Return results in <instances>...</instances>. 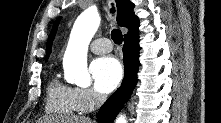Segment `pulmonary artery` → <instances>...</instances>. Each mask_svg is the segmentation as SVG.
<instances>
[{
	"label": "pulmonary artery",
	"instance_id": "1",
	"mask_svg": "<svg viewBox=\"0 0 221 123\" xmlns=\"http://www.w3.org/2000/svg\"><path fill=\"white\" fill-rule=\"evenodd\" d=\"M90 48L96 54H104L112 50V44L107 38H98L91 43Z\"/></svg>",
	"mask_w": 221,
	"mask_h": 123
}]
</instances>
